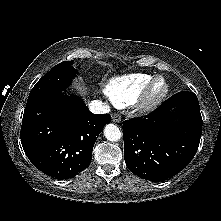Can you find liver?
<instances>
[{"instance_id": "6515ba94", "label": "liver", "mask_w": 221, "mask_h": 221, "mask_svg": "<svg viewBox=\"0 0 221 221\" xmlns=\"http://www.w3.org/2000/svg\"><path fill=\"white\" fill-rule=\"evenodd\" d=\"M76 88L81 92V93H86L84 86L81 83H78L76 85Z\"/></svg>"}]
</instances>
